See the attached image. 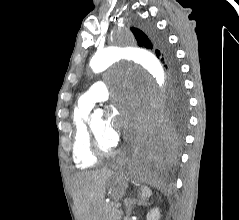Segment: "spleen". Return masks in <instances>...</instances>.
Segmentation results:
<instances>
[{
	"label": "spleen",
	"instance_id": "spleen-1",
	"mask_svg": "<svg viewBox=\"0 0 239 220\" xmlns=\"http://www.w3.org/2000/svg\"><path fill=\"white\" fill-rule=\"evenodd\" d=\"M152 195V191L147 186L142 187V199H146Z\"/></svg>",
	"mask_w": 239,
	"mask_h": 220
}]
</instances>
